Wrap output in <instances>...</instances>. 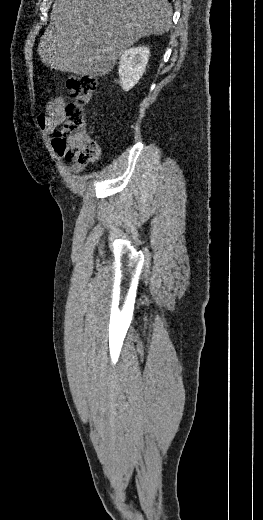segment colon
<instances>
[{
  "label": "colon",
  "instance_id": "5ec220e1",
  "mask_svg": "<svg viewBox=\"0 0 263 520\" xmlns=\"http://www.w3.org/2000/svg\"><path fill=\"white\" fill-rule=\"evenodd\" d=\"M96 86V80L89 76H72L67 80L72 102L65 107V119L53 140L54 149L67 161L86 163L98 157V145L87 133L85 119V107Z\"/></svg>",
  "mask_w": 263,
  "mask_h": 520
}]
</instances>
